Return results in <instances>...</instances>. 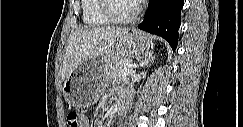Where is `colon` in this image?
I'll return each instance as SVG.
<instances>
[{"label":"colon","mask_w":243,"mask_h":127,"mask_svg":"<svg viewBox=\"0 0 243 127\" xmlns=\"http://www.w3.org/2000/svg\"><path fill=\"white\" fill-rule=\"evenodd\" d=\"M66 119L69 127H85L83 118L75 111H70Z\"/></svg>","instance_id":"obj_1"}]
</instances>
